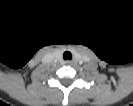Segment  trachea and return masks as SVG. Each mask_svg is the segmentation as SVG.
I'll return each mask as SVG.
<instances>
[{
  "label": "trachea",
  "instance_id": "1",
  "mask_svg": "<svg viewBox=\"0 0 133 106\" xmlns=\"http://www.w3.org/2000/svg\"><path fill=\"white\" fill-rule=\"evenodd\" d=\"M63 58H64L65 60H71V59H72V54H71L69 51H66V52H64V54H63Z\"/></svg>",
  "mask_w": 133,
  "mask_h": 106
}]
</instances>
